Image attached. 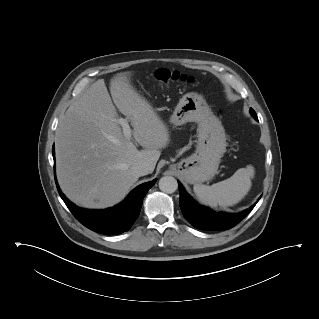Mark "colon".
<instances>
[{
	"label": "colon",
	"instance_id": "obj_1",
	"mask_svg": "<svg viewBox=\"0 0 319 319\" xmlns=\"http://www.w3.org/2000/svg\"><path fill=\"white\" fill-rule=\"evenodd\" d=\"M156 79L165 85H168L170 83H175L179 81H186L188 78L177 72V71H170L168 69H159L155 74Z\"/></svg>",
	"mask_w": 319,
	"mask_h": 319
}]
</instances>
